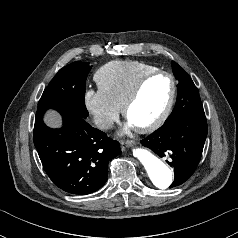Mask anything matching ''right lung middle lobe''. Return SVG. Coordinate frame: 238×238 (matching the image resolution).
<instances>
[{"instance_id": "right-lung-middle-lobe-1", "label": "right lung middle lobe", "mask_w": 238, "mask_h": 238, "mask_svg": "<svg viewBox=\"0 0 238 238\" xmlns=\"http://www.w3.org/2000/svg\"><path fill=\"white\" fill-rule=\"evenodd\" d=\"M91 69L89 63L73 62L60 69L38 103L35 123L42 122L43 114L48 109L57 110L64 118H86L84 93L86 77Z\"/></svg>"}]
</instances>
